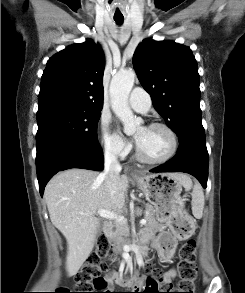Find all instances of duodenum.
<instances>
[{
  "label": "duodenum",
  "instance_id": "duodenum-1",
  "mask_svg": "<svg viewBox=\"0 0 245 293\" xmlns=\"http://www.w3.org/2000/svg\"><path fill=\"white\" fill-rule=\"evenodd\" d=\"M103 231H104V234L110 236L113 232V224L111 222L105 223ZM143 251H144V246H141L140 252L143 253Z\"/></svg>",
  "mask_w": 245,
  "mask_h": 293
}]
</instances>
